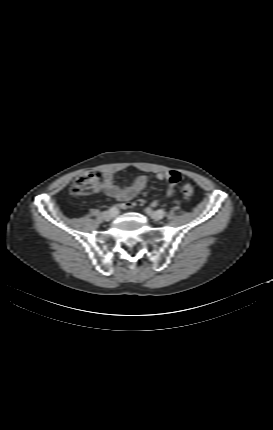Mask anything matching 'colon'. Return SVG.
I'll list each match as a JSON object with an SVG mask.
<instances>
[{
    "label": "colon",
    "mask_w": 273,
    "mask_h": 430,
    "mask_svg": "<svg viewBox=\"0 0 273 430\" xmlns=\"http://www.w3.org/2000/svg\"><path fill=\"white\" fill-rule=\"evenodd\" d=\"M100 180V174L97 172L87 171L80 174L72 185V193L74 195H89L94 193L98 189V183ZM194 188L190 184H186L183 187V195L186 198L192 197Z\"/></svg>",
    "instance_id": "obj_1"
}]
</instances>
